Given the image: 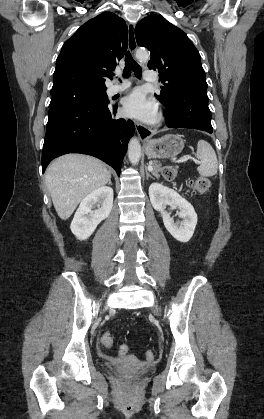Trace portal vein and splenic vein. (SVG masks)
Instances as JSON below:
<instances>
[{
    "instance_id": "1",
    "label": "portal vein and splenic vein",
    "mask_w": 264,
    "mask_h": 419,
    "mask_svg": "<svg viewBox=\"0 0 264 419\" xmlns=\"http://www.w3.org/2000/svg\"><path fill=\"white\" fill-rule=\"evenodd\" d=\"M189 159H192L193 161L197 162V160H196V159H194V158H192V157H190V156L184 157V158L180 159L179 161H180V162H184V161H187V160H189ZM149 170H150V171H152V170H153V168H152V167H149Z\"/></svg>"
}]
</instances>
